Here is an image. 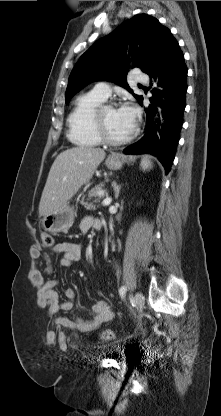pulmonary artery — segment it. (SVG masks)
Listing matches in <instances>:
<instances>
[{
  "mask_svg": "<svg viewBox=\"0 0 221 416\" xmlns=\"http://www.w3.org/2000/svg\"><path fill=\"white\" fill-rule=\"evenodd\" d=\"M135 74V80L139 83H145L148 81V76L142 74L139 70L133 71ZM93 91L103 98L107 99L111 94V88L106 82H99L94 85Z\"/></svg>",
  "mask_w": 221,
  "mask_h": 416,
  "instance_id": "obj_1",
  "label": "pulmonary artery"
}]
</instances>
